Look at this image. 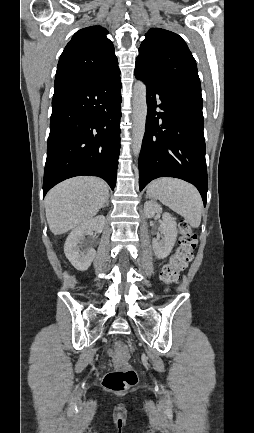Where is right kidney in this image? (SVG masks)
<instances>
[{
  "mask_svg": "<svg viewBox=\"0 0 254 433\" xmlns=\"http://www.w3.org/2000/svg\"><path fill=\"white\" fill-rule=\"evenodd\" d=\"M104 225L105 217L99 215L76 227L67 237L64 245V253L77 270H87L96 254L93 248H85L82 246L84 235L89 234L91 231L101 233Z\"/></svg>",
  "mask_w": 254,
  "mask_h": 433,
  "instance_id": "1",
  "label": "right kidney"
}]
</instances>
